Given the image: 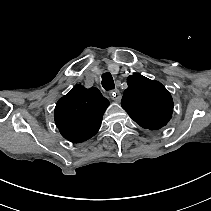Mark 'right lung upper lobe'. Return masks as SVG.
Here are the masks:
<instances>
[{
    "label": "right lung upper lobe",
    "mask_w": 211,
    "mask_h": 211,
    "mask_svg": "<svg viewBox=\"0 0 211 211\" xmlns=\"http://www.w3.org/2000/svg\"><path fill=\"white\" fill-rule=\"evenodd\" d=\"M108 106L109 101L97 88L76 85L56 104V126L67 140L83 142L98 132Z\"/></svg>",
    "instance_id": "right-lung-upper-lobe-1"
}]
</instances>
